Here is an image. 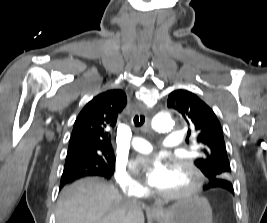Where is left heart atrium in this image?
Wrapping results in <instances>:
<instances>
[{"mask_svg": "<svg viewBox=\"0 0 267 223\" xmlns=\"http://www.w3.org/2000/svg\"><path fill=\"white\" fill-rule=\"evenodd\" d=\"M141 167L146 168V181L153 188H158L169 176L168 167L159 158L143 160Z\"/></svg>", "mask_w": 267, "mask_h": 223, "instance_id": "1", "label": "left heart atrium"}]
</instances>
